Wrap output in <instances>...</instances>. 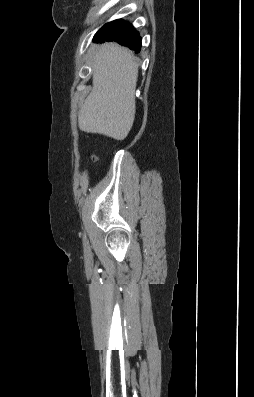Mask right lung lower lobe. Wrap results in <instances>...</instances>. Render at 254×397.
<instances>
[{
	"mask_svg": "<svg viewBox=\"0 0 254 397\" xmlns=\"http://www.w3.org/2000/svg\"><path fill=\"white\" fill-rule=\"evenodd\" d=\"M115 41L127 46L136 53L140 52L141 37L132 24L124 20H114L105 24L94 36L93 42Z\"/></svg>",
	"mask_w": 254,
	"mask_h": 397,
	"instance_id": "98d812e1",
	"label": "right lung lower lobe"
}]
</instances>
